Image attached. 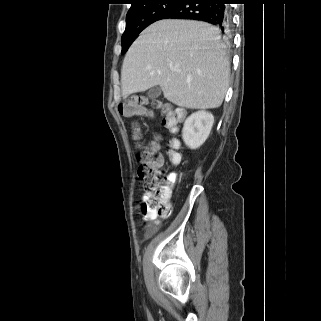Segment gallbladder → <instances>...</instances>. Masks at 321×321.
<instances>
[{
  "instance_id": "obj_1",
  "label": "gallbladder",
  "mask_w": 321,
  "mask_h": 321,
  "mask_svg": "<svg viewBox=\"0 0 321 321\" xmlns=\"http://www.w3.org/2000/svg\"><path fill=\"white\" fill-rule=\"evenodd\" d=\"M161 95V88L160 86H154L149 89L147 93V97L151 100H156Z\"/></svg>"
}]
</instances>
